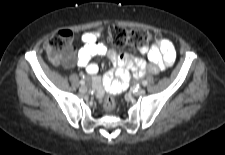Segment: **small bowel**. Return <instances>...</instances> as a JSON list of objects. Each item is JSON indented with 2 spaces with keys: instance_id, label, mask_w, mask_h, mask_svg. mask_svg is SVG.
I'll return each mask as SVG.
<instances>
[{
  "instance_id": "c3829d8e",
  "label": "small bowel",
  "mask_w": 225,
  "mask_h": 155,
  "mask_svg": "<svg viewBox=\"0 0 225 155\" xmlns=\"http://www.w3.org/2000/svg\"><path fill=\"white\" fill-rule=\"evenodd\" d=\"M98 32H86L82 35V47L77 50L76 57L72 61L64 62L71 67L77 64L85 68L92 76V83L97 96L103 100L105 93L116 94L121 92L128 84L131 72L136 78L142 77L146 72L158 74L171 66L176 57L175 48L168 39H159L151 46L144 45L139 51L147 56L148 61L135 58L127 53H119L108 48L98 41ZM95 56H107L115 69L106 73L103 77L98 76V65L91 62Z\"/></svg>"
}]
</instances>
